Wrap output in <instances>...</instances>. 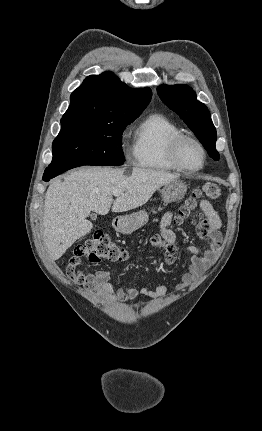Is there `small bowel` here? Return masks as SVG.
I'll return each mask as SVG.
<instances>
[{"mask_svg": "<svg viewBox=\"0 0 262 431\" xmlns=\"http://www.w3.org/2000/svg\"><path fill=\"white\" fill-rule=\"evenodd\" d=\"M199 207L202 210L205 220L198 226L200 236L207 241L209 248L201 251L196 246H188L191 252L190 262L186 271L181 275V281L177 284V290L183 291L186 287L192 285L209 269L219 248L221 234V220L218 213L207 200H200ZM172 220V213H167L161 220V236L167 243L164 251V257L167 264H173L177 257V246L175 233L169 228ZM75 283L82 285L86 291L95 294L105 301L124 302L132 300L138 294H142L149 299H155L162 293L166 292L168 285L162 284L155 288L135 289L130 287H121L115 289L110 281V273L106 270H98L93 274L77 275L72 277Z\"/></svg>", "mask_w": 262, "mask_h": 431, "instance_id": "obj_1", "label": "small bowel"}]
</instances>
